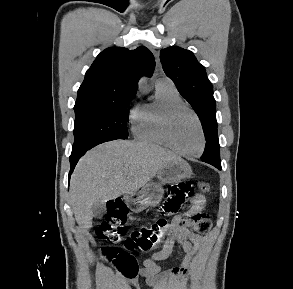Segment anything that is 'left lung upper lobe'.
I'll return each mask as SVG.
<instances>
[{
    "instance_id": "1",
    "label": "left lung upper lobe",
    "mask_w": 293,
    "mask_h": 289,
    "mask_svg": "<svg viewBox=\"0 0 293 289\" xmlns=\"http://www.w3.org/2000/svg\"><path fill=\"white\" fill-rule=\"evenodd\" d=\"M160 60L165 74L175 83L182 97L197 113L206 140L212 136L218 138L216 102L205 67L197 61L191 51L180 47L162 49ZM201 159L208 164H221L219 142L212 150L204 152Z\"/></svg>"
}]
</instances>
